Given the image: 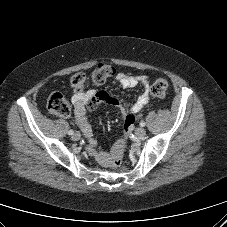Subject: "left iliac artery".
Here are the masks:
<instances>
[{
	"label": "left iliac artery",
	"instance_id": "1",
	"mask_svg": "<svg viewBox=\"0 0 227 227\" xmlns=\"http://www.w3.org/2000/svg\"><path fill=\"white\" fill-rule=\"evenodd\" d=\"M140 126H141V127H144V126H145V122H144V121H141V122H140Z\"/></svg>",
	"mask_w": 227,
	"mask_h": 227
}]
</instances>
